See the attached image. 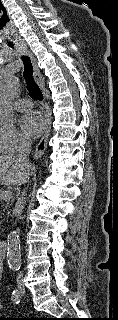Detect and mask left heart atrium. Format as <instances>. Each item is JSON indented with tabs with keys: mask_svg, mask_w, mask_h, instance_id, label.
<instances>
[{
	"mask_svg": "<svg viewBox=\"0 0 118 320\" xmlns=\"http://www.w3.org/2000/svg\"><path fill=\"white\" fill-rule=\"evenodd\" d=\"M21 128L23 132L32 138L38 137L45 129V120L41 113L30 111L21 119Z\"/></svg>",
	"mask_w": 118,
	"mask_h": 320,
	"instance_id": "left-heart-atrium-1",
	"label": "left heart atrium"
}]
</instances>
